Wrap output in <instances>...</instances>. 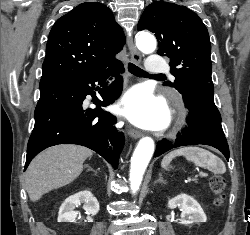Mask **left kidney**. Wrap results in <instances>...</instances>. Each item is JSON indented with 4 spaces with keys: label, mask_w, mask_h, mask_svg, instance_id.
Segmentation results:
<instances>
[{
    "label": "left kidney",
    "mask_w": 250,
    "mask_h": 235,
    "mask_svg": "<svg viewBox=\"0 0 250 235\" xmlns=\"http://www.w3.org/2000/svg\"><path fill=\"white\" fill-rule=\"evenodd\" d=\"M179 207L181 210V224H193L206 222V215L200 204L191 196L180 194L168 201V208L174 209ZM188 217V220L185 217Z\"/></svg>",
    "instance_id": "5707ae66"
}]
</instances>
